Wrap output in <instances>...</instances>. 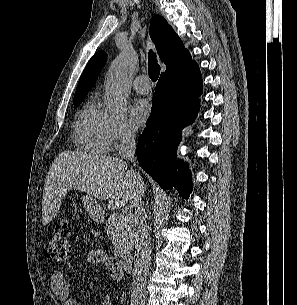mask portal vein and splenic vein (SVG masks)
Returning a JSON list of instances; mask_svg holds the SVG:
<instances>
[{
    "label": "portal vein and splenic vein",
    "mask_w": 297,
    "mask_h": 305,
    "mask_svg": "<svg viewBox=\"0 0 297 305\" xmlns=\"http://www.w3.org/2000/svg\"><path fill=\"white\" fill-rule=\"evenodd\" d=\"M128 216H129V214L127 212L122 214V217H128Z\"/></svg>",
    "instance_id": "obj_1"
}]
</instances>
